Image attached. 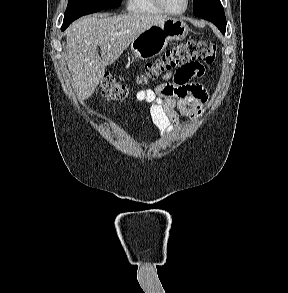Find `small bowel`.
<instances>
[{"label": "small bowel", "instance_id": "c3829d8e", "mask_svg": "<svg viewBox=\"0 0 288 293\" xmlns=\"http://www.w3.org/2000/svg\"><path fill=\"white\" fill-rule=\"evenodd\" d=\"M204 72V66L196 62L164 75L155 88L137 92L138 101L151 105L150 115L161 136H167L179 127L178 113L192 119L201 115L208 95L200 84L190 80L202 77Z\"/></svg>", "mask_w": 288, "mask_h": 293}]
</instances>
